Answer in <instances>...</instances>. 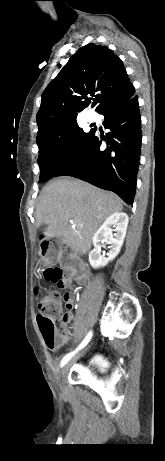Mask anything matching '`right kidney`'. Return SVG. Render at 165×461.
<instances>
[{
    "label": "right kidney",
    "instance_id": "obj_1",
    "mask_svg": "<svg viewBox=\"0 0 165 461\" xmlns=\"http://www.w3.org/2000/svg\"><path fill=\"white\" fill-rule=\"evenodd\" d=\"M128 215L116 212L110 215L93 237L94 249L89 253V262L93 268L103 267L113 260L120 252L128 225ZM113 231L115 232L113 234ZM103 243L111 245L108 258L101 255Z\"/></svg>",
    "mask_w": 165,
    "mask_h": 461
}]
</instances>
